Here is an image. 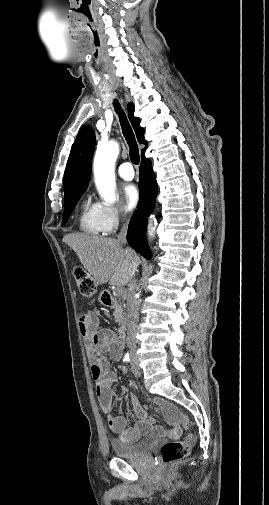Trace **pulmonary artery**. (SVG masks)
I'll use <instances>...</instances> for the list:
<instances>
[{
  "label": "pulmonary artery",
  "mask_w": 269,
  "mask_h": 505,
  "mask_svg": "<svg viewBox=\"0 0 269 505\" xmlns=\"http://www.w3.org/2000/svg\"><path fill=\"white\" fill-rule=\"evenodd\" d=\"M118 174L125 180H132L134 178V170L131 163H122L118 168Z\"/></svg>",
  "instance_id": "e3ab8cb5"
}]
</instances>
